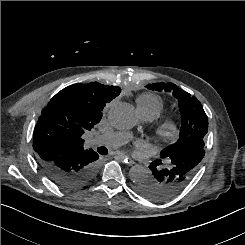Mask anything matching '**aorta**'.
I'll return each instance as SVG.
<instances>
[{"label":"aorta","mask_w":245,"mask_h":245,"mask_svg":"<svg viewBox=\"0 0 245 245\" xmlns=\"http://www.w3.org/2000/svg\"><path fill=\"white\" fill-rule=\"evenodd\" d=\"M108 120L117 129H130L137 123L135 108L125 102L112 104L108 110ZM150 170L143 166H134L129 171L130 179L134 183H139L150 176Z\"/></svg>","instance_id":"762f6f07"}]
</instances>
